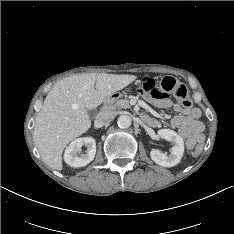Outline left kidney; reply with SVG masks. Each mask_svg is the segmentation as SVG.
Returning <instances> with one entry per match:
<instances>
[{"label":"left kidney","instance_id":"5707ae66","mask_svg":"<svg viewBox=\"0 0 234 234\" xmlns=\"http://www.w3.org/2000/svg\"><path fill=\"white\" fill-rule=\"evenodd\" d=\"M158 136L166 141L172 142L174 145L170 149L171 153L166 155L160 150H151L150 157L158 165L163 167H173L177 165L184 153L183 138L171 129H161L158 131Z\"/></svg>","mask_w":234,"mask_h":234}]
</instances>
